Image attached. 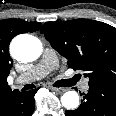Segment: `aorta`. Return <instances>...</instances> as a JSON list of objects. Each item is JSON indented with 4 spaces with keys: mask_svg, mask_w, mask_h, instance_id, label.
<instances>
[{
    "mask_svg": "<svg viewBox=\"0 0 116 116\" xmlns=\"http://www.w3.org/2000/svg\"><path fill=\"white\" fill-rule=\"evenodd\" d=\"M12 57L23 63L36 60L42 53L41 41L29 34H21L15 37L10 45ZM62 105L73 110L79 106V96L76 91H67L61 97Z\"/></svg>",
    "mask_w": 116,
    "mask_h": 116,
    "instance_id": "obj_1",
    "label": "aorta"
}]
</instances>
